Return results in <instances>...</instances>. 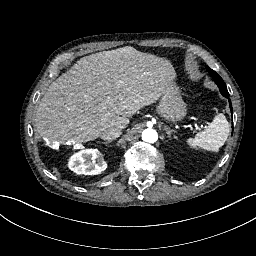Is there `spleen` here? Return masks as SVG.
Instances as JSON below:
<instances>
[{
    "label": "spleen",
    "mask_w": 256,
    "mask_h": 256,
    "mask_svg": "<svg viewBox=\"0 0 256 256\" xmlns=\"http://www.w3.org/2000/svg\"><path fill=\"white\" fill-rule=\"evenodd\" d=\"M230 131L229 123L223 114L215 115L212 122L193 138L186 139V145L194 150L218 153L227 140Z\"/></svg>",
    "instance_id": "obj_1"
}]
</instances>
